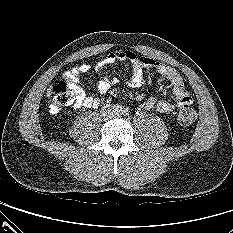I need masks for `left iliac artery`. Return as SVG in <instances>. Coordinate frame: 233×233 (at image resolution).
<instances>
[{
    "label": "left iliac artery",
    "mask_w": 233,
    "mask_h": 233,
    "mask_svg": "<svg viewBox=\"0 0 233 233\" xmlns=\"http://www.w3.org/2000/svg\"><path fill=\"white\" fill-rule=\"evenodd\" d=\"M123 115H128L129 114V111L127 109H124L123 112H122Z\"/></svg>",
    "instance_id": "left-iliac-artery-1"
}]
</instances>
